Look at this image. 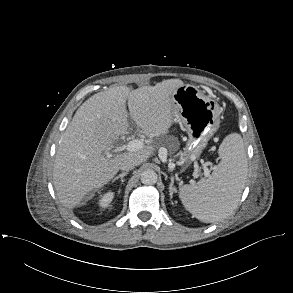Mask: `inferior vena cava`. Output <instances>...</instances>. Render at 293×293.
<instances>
[{
  "mask_svg": "<svg viewBox=\"0 0 293 293\" xmlns=\"http://www.w3.org/2000/svg\"><path fill=\"white\" fill-rule=\"evenodd\" d=\"M136 166L135 161H133L130 158H126L123 160V162L120 165V169L123 171H130Z\"/></svg>",
  "mask_w": 293,
  "mask_h": 293,
  "instance_id": "602c4592",
  "label": "inferior vena cava"
}]
</instances>
